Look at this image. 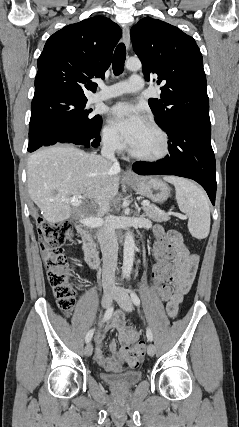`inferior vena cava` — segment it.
<instances>
[{
	"label": "inferior vena cava",
	"instance_id": "obj_1",
	"mask_svg": "<svg viewBox=\"0 0 239 427\" xmlns=\"http://www.w3.org/2000/svg\"><path fill=\"white\" fill-rule=\"evenodd\" d=\"M116 145L115 137L105 139L101 154L104 158L113 162L115 169H120L119 162L115 158ZM97 237L103 256L102 286L104 290H114L116 288L115 271L117 268L118 243L115 230L109 221L98 230Z\"/></svg>",
	"mask_w": 239,
	"mask_h": 427
}]
</instances>
